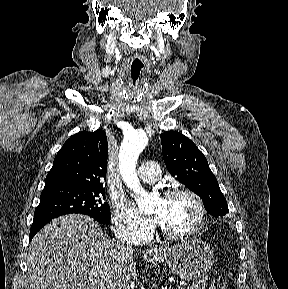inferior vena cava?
I'll return each instance as SVG.
<instances>
[{
  "label": "inferior vena cava",
  "mask_w": 288,
  "mask_h": 289,
  "mask_svg": "<svg viewBox=\"0 0 288 289\" xmlns=\"http://www.w3.org/2000/svg\"><path fill=\"white\" fill-rule=\"evenodd\" d=\"M119 248L124 252V251H129L131 250V248L128 246V245H125L124 242L123 244L120 246L119 245Z\"/></svg>",
  "instance_id": "602c4592"
}]
</instances>
